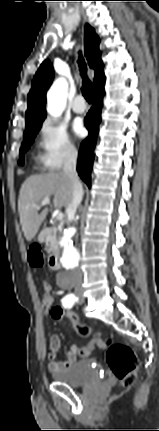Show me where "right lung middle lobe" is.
Wrapping results in <instances>:
<instances>
[{"instance_id": "1", "label": "right lung middle lobe", "mask_w": 159, "mask_h": 431, "mask_svg": "<svg viewBox=\"0 0 159 431\" xmlns=\"http://www.w3.org/2000/svg\"><path fill=\"white\" fill-rule=\"evenodd\" d=\"M41 128V124H38L34 127L28 128L24 132V141L22 143V146L20 148V159L19 164H23V154L29 149L31 143L33 142L36 134L38 133L39 129Z\"/></svg>"}]
</instances>
